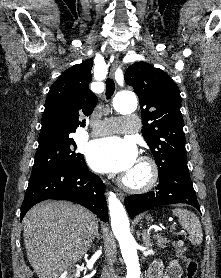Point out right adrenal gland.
Here are the masks:
<instances>
[{
    "label": "right adrenal gland",
    "mask_w": 221,
    "mask_h": 278,
    "mask_svg": "<svg viewBox=\"0 0 221 278\" xmlns=\"http://www.w3.org/2000/svg\"><path fill=\"white\" fill-rule=\"evenodd\" d=\"M95 239H99V233L98 230L96 231L94 237H93V241H95Z\"/></svg>",
    "instance_id": "obj_1"
}]
</instances>
